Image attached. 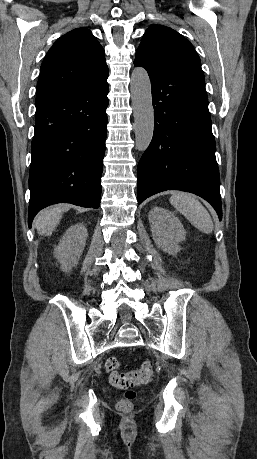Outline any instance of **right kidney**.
Masks as SVG:
<instances>
[{"label":"right kidney","mask_w":257,"mask_h":459,"mask_svg":"<svg viewBox=\"0 0 257 459\" xmlns=\"http://www.w3.org/2000/svg\"><path fill=\"white\" fill-rule=\"evenodd\" d=\"M87 236V229L83 223H77L66 230L54 250V257L60 262L63 271H70L78 264Z\"/></svg>","instance_id":"1"}]
</instances>
